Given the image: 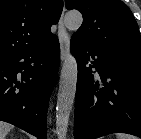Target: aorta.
I'll list each match as a JSON object with an SVG mask.
<instances>
[{
	"mask_svg": "<svg viewBox=\"0 0 141 139\" xmlns=\"http://www.w3.org/2000/svg\"><path fill=\"white\" fill-rule=\"evenodd\" d=\"M83 17L78 11L65 14L64 24L69 31H77L82 25ZM78 67L75 57L67 54L62 66L59 92L56 104V132L58 139H65L70 113L75 100Z\"/></svg>",
	"mask_w": 141,
	"mask_h": 139,
	"instance_id": "aorta-1",
	"label": "aorta"
}]
</instances>
